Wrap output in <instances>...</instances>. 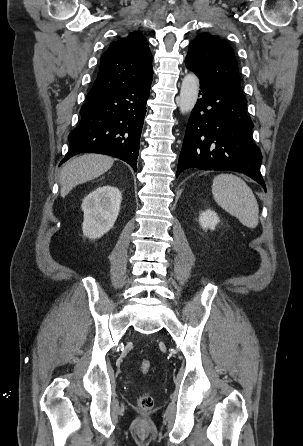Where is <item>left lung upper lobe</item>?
<instances>
[{"mask_svg":"<svg viewBox=\"0 0 303 446\" xmlns=\"http://www.w3.org/2000/svg\"><path fill=\"white\" fill-rule=\"evenodd\" d=\"M185 63L194 71L215 78L243 94L234 50L219 37L207 33L198 35L189 45Z\"/></svg>","mask_w":303,"mask_h":446,"instance_id":"obj_1","label":"left lung upper lobe"}]
</instances>
